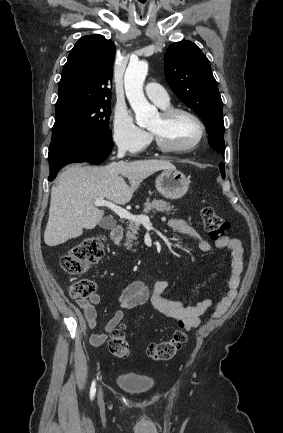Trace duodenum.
<instances>
[{
	"instance_id": "obj_1",
	"label": "duodenum",
	"mask_w": 283,
	"mask_h": 433,
	"mask_svg": "<svg viewBox=\"0 0 283 433\" xmlns=\"http://www.w3.org/2000/svg\"><path fill=\"white\" fill-rule=\"evenodd\" d=\"M123 234L124 227L122 225H117L111 230L110 237L114 242L118 243L121 241Z\"/></svg>"
}]
</instances>
